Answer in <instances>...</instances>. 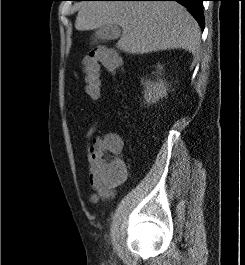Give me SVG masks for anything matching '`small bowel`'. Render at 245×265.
I'll return each instance as SVG.
<instances>
[{
    "label": "small bowel",
    "instance_id": "small-bowel-1",
    "mask_svg": "<svg viewBox=\"0 0 245 265\" xmlns=\"http://www.w3.org/2000/svg\"><path fill=\"white\" fill-rule=\"evenodd\" d=\"M97 129V123L92 124L86 133L87 144L86 153L90 162L89 182L94 191L90 196L91 202H98L100 200H110L116 194V188L123 182L124 176L117 180L107 179L93 164V157L96 151L104 144L106 139L112 135H106L104 138L96 137L93 135Z\"/></svg>",
    "mask_w": 245,
    "mask_h": 265
}]
</instances>
